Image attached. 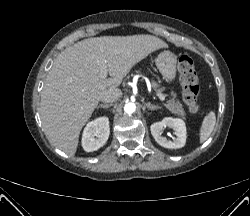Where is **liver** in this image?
I'll return each instance as SVG.
<instances>
[{
	"label": "liver",
	"mask_w": 250,
	"mask_h": 216,
	"mask_svg": "<svg viewBox=\"0 0 250 216\" xmlns=\"http://www.w3.org/2000/svg\"><path fill=\"white\" fill-rule=\"evenodd\" d=\"M167 44L152 35L88 38L63 50L47 74L40 117L51 141L73 156L79 134L109 88L118 87L132 67ZM111 76L99 77L100 61Z\"/></svg>",
	"instance_id": "liver-1"
}]
</instances>
